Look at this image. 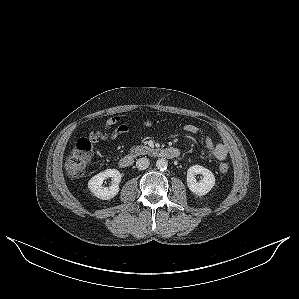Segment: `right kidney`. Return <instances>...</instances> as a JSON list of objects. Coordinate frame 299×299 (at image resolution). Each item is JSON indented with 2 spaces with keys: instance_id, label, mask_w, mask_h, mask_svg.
<instances>
[{
  "instance_id": "obj_1",
  "label": "right kidney",
  "mask_w": 299,
  "mask_h": 299,
  "mask_svg": "<svg viewBox=\"0 0 299 299\" xmlns=\"http://www.w3.org/2000/svg\"><path fill=\"white\" fill-rule=\"evenodd\" d=\"M109 177L112 179L113 184L109 188L103 187V181ZM121 177L122 176L118 170L106 169L89 180L88 188L97 198L109 200L118 194Z\"/></svg>"
}]
</instances>
